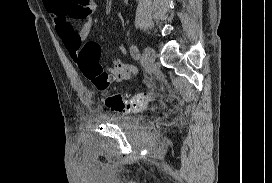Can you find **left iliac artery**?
I'll return each instance as SVG.
<instances>
[{"label":"left iliac artery","mask_w":272,"mask_h":183,"mask_svg":"<svg viewBox=\"0 0 272 183\" xmlns=\"http://www.w3.org/2000/svg\"><path fill=\"white\" fill-rule=\"evenodd\" d=\"M130 53L131 56L135 59V60H139L140 59V52L138 47L135 44H132L130 46Z\"/></svg>","instance_id":"left-iliac-artery-1"}]
</instances>
